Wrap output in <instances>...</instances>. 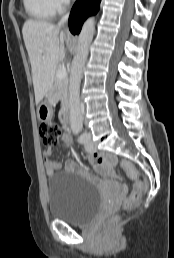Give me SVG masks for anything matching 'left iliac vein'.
<instances>
[{"label": "left iliac vein", "instance_id": "4c4485c4", "mask_svg": "<svg viewBox=\"0 0 174 258\" xmlns=\"http://www.w3.org/2000/svg\"><path fill=\"white\" fill-rule=\"evenodd\" d=\"M85 148L89 152H93L96 150L95 146L93 145V143L91 141V135L89 133H87V141L85 143Z\"/></svg>", "mask_w": 174, "mask_h": 258}]
</instances>
